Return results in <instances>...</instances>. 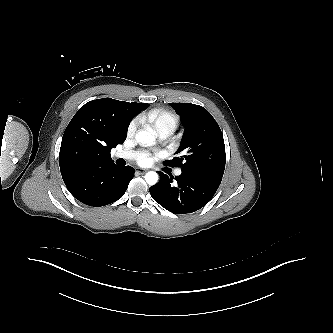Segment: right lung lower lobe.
Listing matches in <instances>:
<instances>
[{"label": "right lung lower lobe", "mask_w": 333, "mask_h": 333, "mask_svg": "<svg viewBox=\"0 0 333 333\" xmlns=\"http://www.w3.org/2000/svg\"><path fill=\"white\" fill-rule=\"evenodd\" d=\"M130 166L118 167L114 163L89 169L78 176L71 185L70 193L82 203L100 207L120 199L134 176Z\"/></svg>", "instance_id": "1"}]
</instances>
